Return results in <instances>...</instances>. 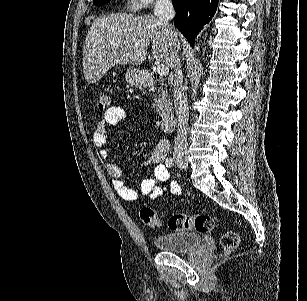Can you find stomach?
<instances>
[{
	"mask_svg": "<svg viewBox=\"0 0 307 301\" xmlns=\"http://www.w3.org/2000/svg\"><path fill=\"white\" fill-rule=\"evenodd\" d=\"M126 80L130 86H143L145 84V74L136 66H129L126 70Z\"/></svg>",
	"mask_w": 307,
	"mask_h": 301,
	"instance_id": "1",
	"label": "stomach"
}]
</instances>
